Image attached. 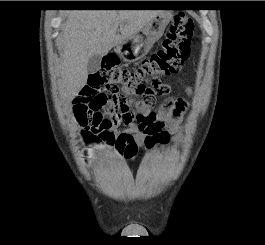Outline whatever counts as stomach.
Segmentation results:
<instances>
[{"label":"stomach","mask_w":265,"mask_h":245,"mask_svg":"<svg viewBox=\"0 0 265 245\" xmlns=\"http://www.w3.org/2000/svg\"><path fill=\"white\" fill-rule=\"evenodd\" d=\"M172 18L169 11H161L138 33L116 45L117 54L125 62H135L148 54L152 46L164 33Z\"/></svg>","instance_id":"stomach-1"}]
</instances>
